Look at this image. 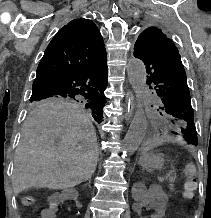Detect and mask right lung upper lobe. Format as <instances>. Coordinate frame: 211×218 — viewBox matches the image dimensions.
Masks as SVG:
<instances>
[{
  "label": "right lung upper lobe",
  "instance_id": "obj_1",
  "mask_svg": "<svg viewBox=\"0 0 211 218\" xmlns=\"http://www.w3.org/2000/svg\"><path fill=\"white\" fill-rule=\"evenodd\" d=\"M104 59L106 50L96 25L89 19H74L58 31L46 48L33 89Z\"/></svg>",
  "mask_w": 211,
  "mask_h": 218
}]
</instances>
